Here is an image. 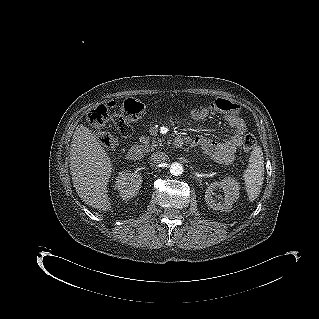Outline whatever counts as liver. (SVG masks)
<instances>
[{
	"label": "liver",
	"mask_w": 319,
	"mask_h": 319,
	"mask_svg": "<svg viewBox=\"0 0 319 319\" xmlns=\"http://www.w3.org/2000/svg\"><path fill=\"white\" fill-rule=\"evenodd\" d=\"M113 165L96 135L80 124L72 137L70 172L85 204L103 212L111 208L107 185Z\"/></svg>",
	"instance_id": "6515ba94"
}]
</instances>
